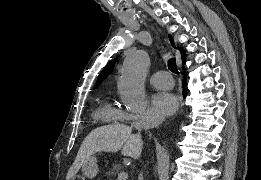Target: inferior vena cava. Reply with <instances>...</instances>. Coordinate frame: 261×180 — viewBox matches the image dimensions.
<instances>
[{"mask_svg":"<svg viewBox=\"0 0 261 180\" xmlns=\"http://www.w3.org/2000/svg\"><path fill=\"white\" fill-rule=\"evenodd\" d=\"M137 128H141V124H136ZM138 158H140V156H137V158H135V160H138Z\"/></svg>","mask_w":261,"mask_h":180,"instance_id":"1","label":"inferior vena cava"}]
</instances>
